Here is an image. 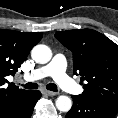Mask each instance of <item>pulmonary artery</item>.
Instances as JSON below:
<instances>
[{
    "label": "pulmonary artery",
    "mask_w": 118,
    "mask_h": 118,
    "mask_svg": "<svg viewBox=\"0 0 118 118\" xmlns=\"http://www.w3.org/2000/svg\"><path fill=\"white\" fill-rule=\"evenodd\" d=\"M66 68V58L63 55L57 54L49 64L26 73L23 78L26 81H36L50 76L63 90L80 93L82 91L81 87L66 74Z\"/></svg>",
    "instance_id": "obj_1"
}]
</instances>
